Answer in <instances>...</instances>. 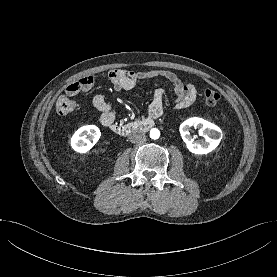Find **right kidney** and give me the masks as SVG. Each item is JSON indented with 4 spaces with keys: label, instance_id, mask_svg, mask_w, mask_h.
I'll return each mask as SVG.
<instances>
[{
    "label": "right kidney",
    "instance_id": "1",
    "mask_svg": "<svg viewBox=\"0 0 277 277\" xmlns=\"http://www.w3.org/2000/svg\"><path fill=\"white\" fill-rule=\"evenodd\" d=\"M101 136L100 130L95 125H87L79 128L71 138L72 148L79 152L85 153L90 150Z\"/></svg>",
    "mask_w": 277,
    "mask_h": 277
}]
</instances>
